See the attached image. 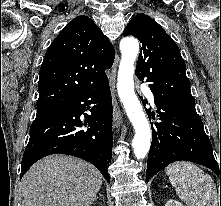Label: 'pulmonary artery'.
Masks as SVG:
<instances>
[{
	"label": "pulmonary artery",
	"mask_w": 221,
	"mask_h": 206,
	"mask_svg": "<svg viewBox=\"0 0 221 206\" xmlns=\"http://www.w3.org/2000/svg\"><path fill=\"white\" fill-rule=\"evenodd\" d=\"M144 91H145V94L147 95L148 99L150 100V102L154 103V96H153L151 90L148 87L144 86Z\"/></svg>",
	"instance_id": "1"
}]
</instances>
